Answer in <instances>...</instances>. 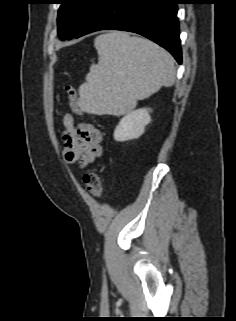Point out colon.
<instances>
[{"instance_id": "1", "label": "colon", "mask_w": 236, "mask_h": 321, "mask_svg": "<svg viewBox=\"0 0 236 321\" xmlns=\"http://www.w3.org/2000/svg\"><path fill=\"white\" fill-rule=\"evenodd\" d=\"M66 93L68 96V101L71 110L76 114H82L83 111L80 107L79 98L76 89L69 85L66 87ZM84 183L86 185L87 191L94 197L98 198L102 194V178L95 172L90 171L84 175Z\"/></svg>"}]
</instances>
